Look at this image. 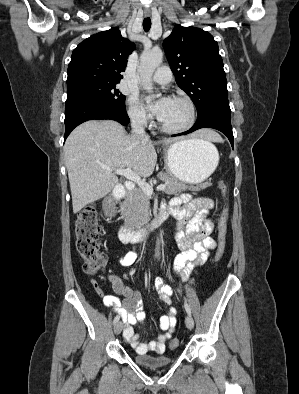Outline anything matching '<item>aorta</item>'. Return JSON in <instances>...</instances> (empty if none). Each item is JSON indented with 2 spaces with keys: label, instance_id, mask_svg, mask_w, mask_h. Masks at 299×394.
<instances>
[{
  "label": "aorta",
  "instance_id": "1",
  "mask_svg": "<svg viewBox=\"0 0 299 394\" xmlns=\"http://www.w3.org/2000/svg\"><path fill=\"white\" fill-rule=\"evenodd\" d=\"M163 59V53L160 49H154L148 52H144L140 57V65L138 72L141 77V86L147 92H152V75L155 69L161 64ZM160 239L156 241V253H159Z\"/></svg>",
  "mask_w": 299,
  "mask_h": 394
}]
</instances>
